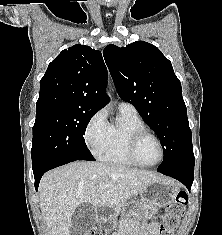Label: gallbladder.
Wrapping results in <instances>:
<instances>
[{"instance_id": "1", "label": "gallbladder", "mask_w": 222, "mask_h": 235, "mask_svg": "<svg viewBox=\"0 0 222 235\" xmlns=\"http://www.w3.org/2000/svg\"><path fill=\"white\" fill-rule=\"evenodd\" d=\"M95 224V211L91 204L79 205L71 218L70 235H87Z\"/></svg>"}]
</instances>
